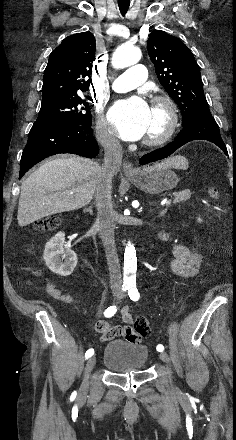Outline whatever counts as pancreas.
Segmentation results:
<instances>
[{
    "label": "pancreas",
    "mask_w": 236,
    "mask_h": 440,
    "mask_svg": "<svg viewBox=\"0 0 236 440\" xmlns=\"http://www.w3.org/2000/svg\"><path fill=\"white\" fill-rule=\"evenodd\" d=\"M173 195L175 196L174 203L177 204L189 200L191 197V192L190 190L186 189L180 192H175Z\"/></svg>",
    "instance_id": "1"
}]
</instances>
